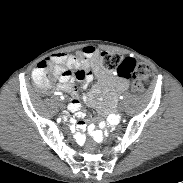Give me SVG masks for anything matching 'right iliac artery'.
<instances>
[{
    "label": "right iliac artery",
    "mask_w": 183,
    "mask_h": 183,
    "mask_svg": "<svg viewBox=\"0 0 183 183\" xmlns=\"http://www.w3.org/2000/svg\"><path fill=\"white\" fill-rule=\"evenodd\" d=\"M61 99L63 100V99H64V97H63V96H61Z\"/></svg>",
    "instance_id": "82829eb1"
}]
</instances>
